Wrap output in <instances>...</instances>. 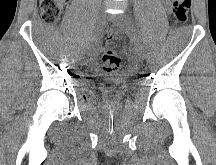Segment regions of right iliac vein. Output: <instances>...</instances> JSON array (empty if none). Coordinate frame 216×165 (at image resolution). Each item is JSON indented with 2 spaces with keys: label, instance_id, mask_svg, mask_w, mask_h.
Returning <instances> with one entry per match:
<instances>
[{
  "label": "right iliac vein",
  "instance_id": "right-iliac-vein-1",
  "mask_svg": "<svg viewBox=\"0 0 216 165\" xmlns=\"http://www.w3.org/2000/svg\"><path fill=\"white\" fill-rule=\"evenodd\" d=\"M105 22H106V15L104 13H100V15L98 16V19H97L96 27H95L93 34H92V37H91L90 45L88 48V53H91L92 50L94 49V45L101 35L103 26L105 25Z\"/></svg>",
  "mask_w": 216,
  "mask_h": 165
}]
</instances>
